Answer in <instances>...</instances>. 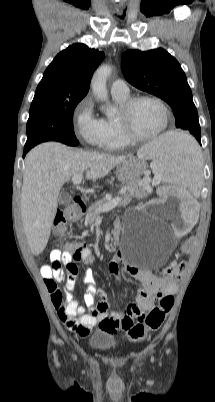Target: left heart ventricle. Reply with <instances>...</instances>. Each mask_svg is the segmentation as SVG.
Returning <instances> with one entry per match:
<instances>
[{
	"mask_svg": "<svg viewBox=\"0 0 215 402\" xmlns=\"http://www.w3.org/2000/svg\"><path fill=\"white\" fill-rule=\"evenodd\" d=\"M133 130L143 136L151 135L161 129L164 124L162 109L152 101H141L133 109Z\"/></svg>",
	"mask_w": 215,
	"mask_h": 402,
	"instance_id": "obj_1",
	"label": "left heart ventricle"
}]
</instances>
